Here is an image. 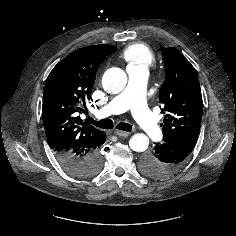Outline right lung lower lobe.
<instances>
[{
  "mask_svg": "<svg viewBox=\"0 0 236 236\" xmlns=\"http://www.w3.org/2000/svg\"><path fill=\"white\" fill-rule=\"evenodd\" d=\"M104 136L101 145L105 142ZM100 145V146H101ZM100 146L93 150L86 158H76L73 156L59 157L63 166L77 177H90L99 172L102 165V158L99 152Z\"/></svg>",
  "mask_w": 236,
  "mask_h": 236,
  "instance_id": "1",
  "label": "right lung lower lobe"
}]
</instances>
